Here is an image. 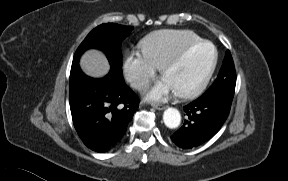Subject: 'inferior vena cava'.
Listing matches in <instances>:
<instances>
[{
	"label": "inferior vena cava",
	"instance_id": "602c4592",
	"mask_svg": "<svg viewBox=\"0 0 288 181\" xmlns=\"http://www.w3.org/2000/svg\"><path fill=\"white\" fill-rule=\"evenodd\" d=\"M132 86L136 89H145L148 87V81L146 79H137L132 83Z\"/></svg>",
	"mask_w": 288,
	"mask_h": 181
}]
</instances>
